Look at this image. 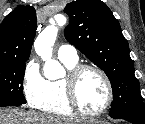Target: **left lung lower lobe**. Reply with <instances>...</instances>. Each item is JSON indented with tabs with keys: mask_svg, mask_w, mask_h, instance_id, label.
<instances>
[{
	"mask_svg": "<svg viewBox=\"0 0 145 124\" xmlns=\"http://www.w3.org/2000/svg\"><path fill=\"white\" fill-rule=\"evenodd\" d=\"M121 119H124V120H126V121H129V122H131L132 124H145L144 121H138V120L128 119V118H121Z\"/></svg>",
	"mask_w": 145,
	"mask_h": 124,
	"instance_id": "obj_1",
	"label": "left lung lower lobe"
}]
</instances>
